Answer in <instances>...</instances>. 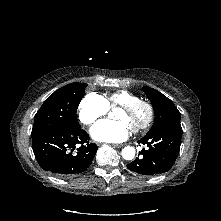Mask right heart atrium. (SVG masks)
Instances as JSON below:
<instances>
[{
    "instance_id": "right-heart-atrium-1",
    "label": "right heart atrium",
    "mask_w": 221,
    "mask_h": 221,
    "mask_svg": "<svg viewBox=\"0 0 221 221\" xmlns=\"http://www.w3.org/2000/svg\"><path fill=\"white\" fill-rule=\"evenodd\" d=\"M109 111L104 98L96 93L86 94L78 106V118L84 125L94 124Z\"/></svg>"
}]
</instances>
